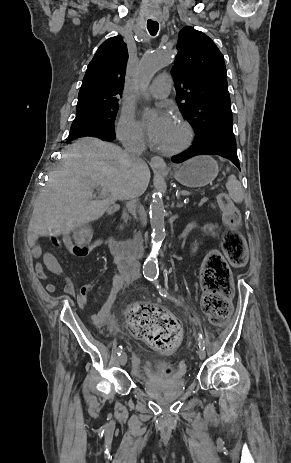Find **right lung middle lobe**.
Returning a JSON list of instances; mask_svg holds the SVG:
<instances>
[{
  "mask_svg": "<svg viewBox=\"0 0 291 463\" xmlns=\"http://www.w3.org/2000/svg\"><path fill=\"white\" fill-rule=\"evenodd\" d=\"M117 110L118 103H113L90 113L77 116L71 125L67 142L86 136H115L114 121Z\"/></svg>",
  "mask_w": 291,
  "mask_h": 463,
  "instance_id": "1",
  "label": "right lung middle lobe"
}]
</instances>
